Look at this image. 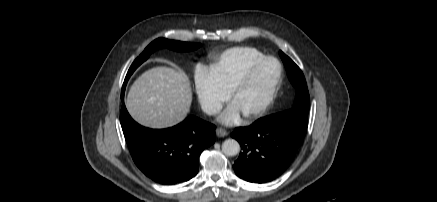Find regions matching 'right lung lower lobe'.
Wrapping results in <instances>:
<instances>
[{"instance_id":"98d812e1","label":"right lung lower lobe","mask_w":437,"mask_h":202,"mask_svg":"<svg viewBox=\"0 0 437 202\" xmlns=\"http://www.w3.org/2000/svg\"><path fill=\"white\" fill-rule=\"evenodd\" d=\"M120 122L131 156L149 178L163 185L186 182L199 170V156L215 142V126L195 116L167 129L136 123L126 110L124 95Z\"/></svg>"}]
</instances>
